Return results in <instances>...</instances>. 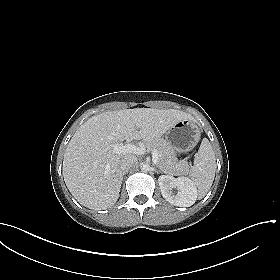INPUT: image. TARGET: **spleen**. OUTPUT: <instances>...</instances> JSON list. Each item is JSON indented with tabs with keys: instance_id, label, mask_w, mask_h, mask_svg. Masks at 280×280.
Instances as JSON below:
<instances>
[{
	"instance_id": "spleen-1",
	"label": "spleen",
	"mask_w": 280,
	"mask_h": 280,
	"mask_svg": "<svg viewBox=\"0 0 280 280\" xmlns=\"http://www.w3.org/2000/svg\"><path fill=\"white\" fill-rule=\"evenodd\" d=\"M216 171V159L212 146L207 138L201 142L195 155L194 165L189 177L197 188L198 197L203 198L212 186Z\"/></svg>"
}]
</instances>
